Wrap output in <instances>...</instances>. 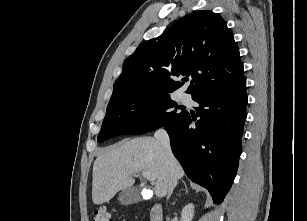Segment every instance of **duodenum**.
<instances>
[{
  "instance_id": "obj_1",
  "label": "duodenum",
  "mask_w": 307,
  "mask_h": 221,
  "mask_svg": "<svg viewBox=\"0 0 307 221\" xmlns=\"http://www.w3.org/2000/svg\"><path fill=\"white\" fill-rule=\"evenodd\" d=\"M150 221H163V211L160 204H155L151 208Z\"/></svg>"
}]
</instances>
